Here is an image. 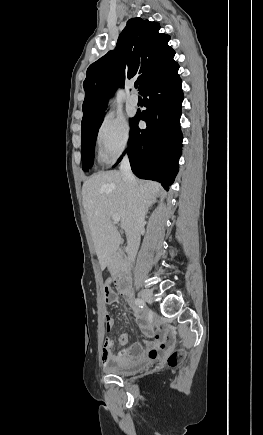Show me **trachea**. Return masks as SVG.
Returning a JSON list of instances; mask_svg holds the SVG:
<instances>
[{"label":"trachea","instance_id":"1","mask_svg":"<svg viewBox=\"0 0 263 435\" xmlns=\"http://www.w3.org/2000/svg\"><path fill=\"white\" fill-rule=\"evenodd\" d=\"M134 87L137 88V87H138V83H135V84H134Z\"/></svg>","mask_w":263,"mask_h":435}]
</instances>
